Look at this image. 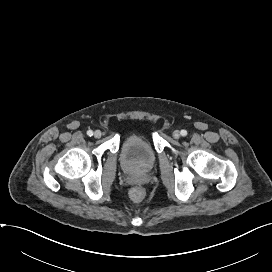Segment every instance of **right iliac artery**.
Returning a JSON list of instances; mask_svg holds the SVG:
<instances>
[{"label":"right iliac artery","instance_id":"right-iliac-artery-1","mask_svg":"<svg viewBox=\"0 0 272 272\" xmlns=\"http://www.w3.org/2000/svg\"><path fill=\"white\" fill-rule=\"evenodd\" d=\"M87 135H88V136H92V135H93V131H92V130H88V131H87Z\"/></svg>","mask_w":272,"mask_h":272}]
</instances>
